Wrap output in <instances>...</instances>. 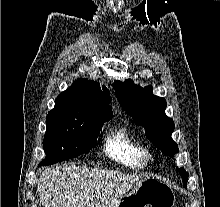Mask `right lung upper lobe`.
I'll return each instance as SVG.
<instances>
[{
    "mask_svg": "<svg viewBox=\"0 0 220 207\" xmlns=\"http://www.w3.org/2000/svg\"><path fill=\"white\" fill-rule=\"evenodd\" d=\"M58 100L75 103L83 111L96 115L102 120H110L113 116L112 109L106 104L110 101V92L98 82L79 78L71 87L61 92Z\"/></svg>",
    "mask_w": 220,
    "mask_h": 207,
    "instance_id": "1",
    "label": "right lung upper lobe"
}]
</instances>
